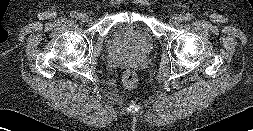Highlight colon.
<instances>
[{"label":"colon","mask_w":253,"mask_h":131,"mask_svg":"<svg viewBox=\"0 0 253 131\" xmlns=\"http://www.w3.org/2000/svg\"><path fill=\"white\" fill-rule=\"evenodd\" d=\"M123 81L126 88L133 89L137 84V74L133 70L128 69L124 72Z\"/></svg>","instance_id":"colon-1"}]
</instances>
